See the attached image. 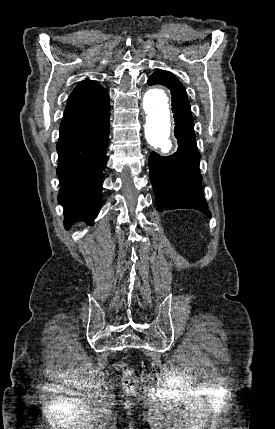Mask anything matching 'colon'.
Returning <instances> with one entry per match:
<instances>
[{"label": "colon", "instance_id": "1", "mask_svg": "<svg viewBox=\"0 0 275 429\" xmlns=\"http://www.w3.org/2000/svg\"><path fill=\"white\" fill-rule=\"evenodd\" d=\"M115 369L123 376V380H122L123 389L126 392L133 391L135 388V380L133 378L132 369L122 362L116 363Z\"/></svg>", "mask_w": 275, "mask_h": 429}]
</instances>
